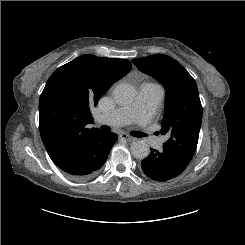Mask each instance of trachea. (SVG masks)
Here are the masks:
<instances>
[{"mask_svg": "<svg viewBox=\"0 0 245 245\" xmlns=\"http://www.w3.org/2000/svg\"><path fill=\"white\" fill-rule=\"evenodd\" d=\"M100 129L106 132H109L111 130L108 126H101ZM131 135L135 137H139V138L146 136V134L141 133V132H132Z\"/></svg>", "mask_w": 245, "mask_h": 245, "instance_id": "trachea-1", "label": "trachea"}]
</instances>
